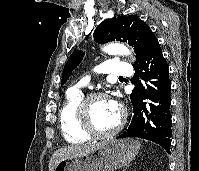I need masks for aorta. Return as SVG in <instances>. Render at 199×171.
Returning a JSON list of instances; mask_svg holds the SVG:
<instances>
[{
  "label": "aorta",
  "instance_id": "1",
  "mask_svg": "<svg viewBox=\"0 0 199 171\" xmlns=\"http://www.w3.org/2000/svg\"><path fill=\"white\" fill-rule=\"evenodd\" d=\"M108 54L129 55L130 51L122 44L110 43L103 49Z\"/></svg>",
  "mask_w": 199,
  "mask_h": 171
}]
</instances>
